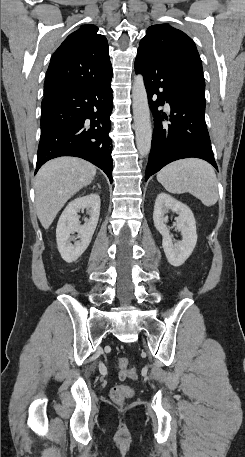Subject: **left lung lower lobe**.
<instances>
[{"mask_svg":"<svg viewBox=\"0 0 245 457\" xmlns=\"http://www.w3.org/2000/svg\"><path fill=\"white\" fill-rule=\"evenodd\" d=\"M135 71L144 77L155 118L145 181L165 165L190 157L206 160L218 169L205 123V100L191 94L185 80L162 58L137 54ZM165 103L171 107L168 124H162L168 116L158 111Z\"/></svg>","mask_w":245,"mask_h":457,"instance_id":"0a47b994","label":"left lung lower lobe"}]
</instances>
